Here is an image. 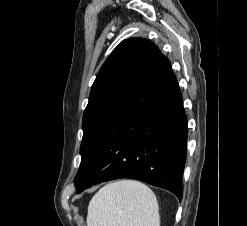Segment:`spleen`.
I'll use <instances>...</instances> for the list:
<instances>
[{"label": "spleen", "mask_w": 247, "mask_h": 226, "mask_svg": "<svg viewBox=\"0 0 247 226\" xmlns=\"http://www.w3.org/2000/svg\"><path fill=\"white\" fill-rule=\"evenodd\" d=\"M87 226H160L156 196L139 181L109 183L89 202Z\"/></svg>", "instance_id": "3e777b00"}]
</instances>
